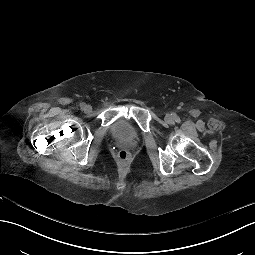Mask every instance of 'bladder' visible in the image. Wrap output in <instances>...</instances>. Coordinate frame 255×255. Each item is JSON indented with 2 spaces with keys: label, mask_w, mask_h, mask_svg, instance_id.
<instances>
[{
  "label": "bladder",
  "mask_w": 255,
  "mask_h": 255,
  "mask_svg": "<svg viewBox=\"0 0 255 255\" xmlns=\"http://www.w3.org/2000/svg\"><path fill=\"white\" fill-rule=\"evenodd\" d=\"M115 130L120 134L121 136H127L130 133V129L128 124L126 123H119L115 126Z\"/></svg>",
  "instance_id": "1"
}]
</instances>
